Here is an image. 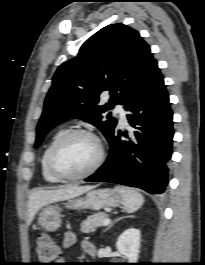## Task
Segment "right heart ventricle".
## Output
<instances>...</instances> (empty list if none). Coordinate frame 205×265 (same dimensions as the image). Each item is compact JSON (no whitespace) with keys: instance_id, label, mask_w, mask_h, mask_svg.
I'll return each mask as SVG.
<instances>
[{"instance_id":"e07e8e85","label":"right heart ventricle","mask_w":205,"mask_h":265,"mask_svg":"<svg viewBox=\"0 0 205 265\" xmlns=\"http://www.w3.org/2000/svg\"><path fill=\"white\" fill-rule=\"evenodd\" d=\"M65 131L60 129L58 131H56L49 139L44 151H43V154H42V157H41V172H42V176L44 178L45 181L49 182V183H58L60 180L56 179L47 169V166H46V156H47V152L50 148V146L52 145V143L62 134L64 133Z\"/></svg>"}]
</instances>
